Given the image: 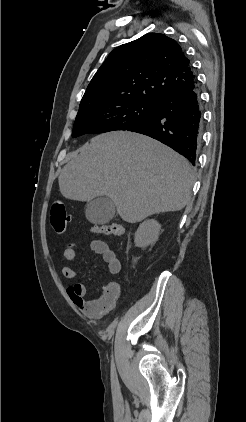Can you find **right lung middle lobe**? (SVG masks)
Segmentation results:
<instances>
[{"instance_id":"1","label":"right lung middle lobe","mask_w":246,"mask_h":422,"mask_svg":"<svg viewBox=\"0 0 246 422\" xmlns=\"http://www.w3.org/2000/svg\"><path fill=\"white\" fill-rule=\"evenodd\" d=\"M154 112L155 102L133 97L99 101L79 108L72 136L127 130L152 117Z\"/></svg>"}]
</instances>
